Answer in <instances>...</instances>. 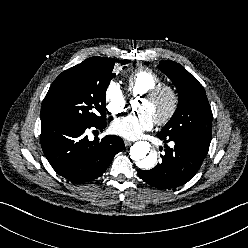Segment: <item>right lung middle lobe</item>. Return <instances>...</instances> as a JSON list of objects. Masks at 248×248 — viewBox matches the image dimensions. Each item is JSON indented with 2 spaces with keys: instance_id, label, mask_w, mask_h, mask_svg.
Here are the masks:
<instances>
[{
  "instance_id": "dd1d6c3e",
  "label": "right lung middle lobe",
  "mask_w": 248,
  "mask_h": 248,
  "mask_svg": "<svg viewBox=\"0 0 248 248\" xmlns=\"http://www.w3.org/2000/svg\"><path fill=\"white\" fill-rule=\"evenodd\" d=\"M99 60L78 64L62 72L51 84L41 109V122L69 121L97 124L106 120V89L117 66L128 64Z\"/></svg>"
}]
</instances>
